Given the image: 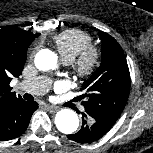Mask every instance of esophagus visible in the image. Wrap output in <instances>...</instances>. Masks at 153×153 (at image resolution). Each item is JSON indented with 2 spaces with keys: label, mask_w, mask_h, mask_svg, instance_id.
<instances>
[{
  "label": "esophagus",
  "mask_w": 153,
  "mask_h": 153,
  "mask_svg": "<svg viewBox=\"0 0 153 153\" xmlns=\"http://www.w3.org/2000/svg\"><path fill=\"white\" fill-rule=\"evenodd\" d=\"M45 107L47 108L48 111L52 113L57 112L59 110V107L53 105H46Z\"/></svg>",
  "instance_id": "obj_1"
}]
</instances>
